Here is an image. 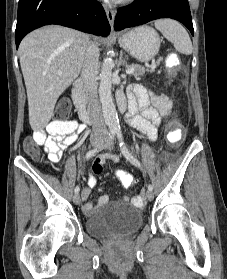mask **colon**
<instances>
[{
	"label": "colon",
	"instance_id": "5ec220e1",
	"mask_svg": "<svg viewBox=\"0 0 227 279\" xmlns=\"http://www.w3.org/2000/svg\"><path fill=\"white\" fill-rule=\"evenodd\" d=\"M70 104L68 101L61 102L57 107V122L61 124V128H67L68 118L70 114ZM25 150L26 152L32 156L33 158L37 159L40 157L39 146L33 141H26L25 143ZM95 172H99L100 169L98 166L94 167ZM118 181L123 186H132L135 183V179L133 175L127 171H117L116 173ZM143 203V197L139 196L134 200V204L136 206H140Z\"/></svg>",
	"mask_w": 227,
	"mask_h": 279
}]
</instances>
